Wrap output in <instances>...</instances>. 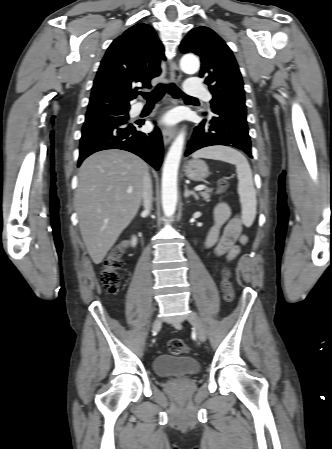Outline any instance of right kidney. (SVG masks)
Returning <instances> with one entry per match:
<instances>
[{
    "label": "right kidney",
    "instance_id": "obj_1",
    "mask_svg": "<svg viewBox=\"0 0 332 449\" xmlns=\"http://www.w3.org/2000/svg\"><path fill=\"white\" fill-rule=\"evenodd\" d=\"M136 243H137V238L134 236V237L132 238V246H135Z\"/></svg>",
    "mask_w": 332,
    "mask_h": 449
}]
</instances>
